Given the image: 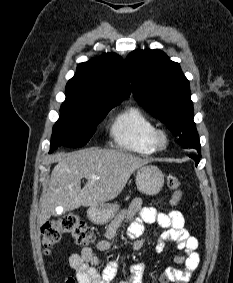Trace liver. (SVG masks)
<instances>
[{
  "label": "liver",
  "instance_id": "6515ba94",
  "mask_svg": "<svg viewBox=\"0 0 233 283\" xmlns=\"http://www.w3.org/2000/svg\"><path fill=\"white\" fill-rule=\"evenodd\" d=\"M49 186L40 198L37 224L42 226L56 206L74 210L81 206H98L116 198L126 186L132 173L150 160L128 152L89 148L66 155L57 152ZM95 175L99 179H92ZM87 182L81 188V179Z\"/></svg>",
  "mask_w": 233,
  "mask_h": 283
}]
</instances>
